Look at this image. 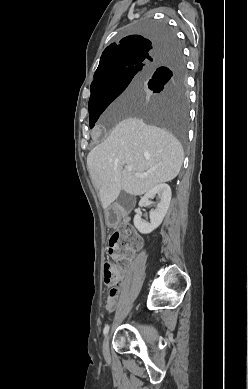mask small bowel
Masks as SVG:
<instances>
[{"instance_id":"small-bowel-1","label":"small bowel","mask_w":248,"mask_h":389,"mask_svg":"<svg viewBox=\"0 0 248 389\" xmlns=\"http://www.w3.org/2000/svg\"><path fill=\"white\" fill-rule=\"evenodd\" d=\"M116 305H117V296H114V297L108 296L107 302H106V310L108 312H111L115 309Z\"/></svg>"}]
</instances>
